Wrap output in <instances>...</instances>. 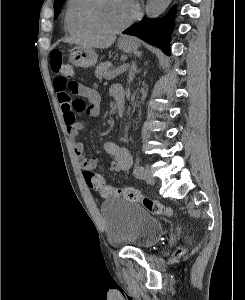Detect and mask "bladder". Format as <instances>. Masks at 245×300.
Masks as SVG:
<instances>
[{"label":"bladder","mask_w":245,"mask_h":300,"mask_svg":"<svg viewBox=\"0 0 245 300\" xmlns=\"http://www.w3.org/2000/svg\"><path fill=\"white\" fill-rule=\"evenodd\" d=\"M108 244L113 248L149 249L163 234V225L141 205L120 198L101 205Z\"/></svg>","instance_id":"31cf9c89"}]
</instances>
